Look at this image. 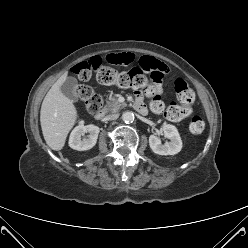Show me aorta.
Returning a JSON list of instances; mask_svg holds the SVG:
<instances>
[{
  "mask_svg": "<svg viewBox=\"0 0 248 248\" xmlns=\"http://www.w3.org/2000/svg\"><path fill=\"white\" fill-rule=\"evenodd\" d=\"M134 114L133 112L131 111H125L123 114H122V120L125 122V123H131L134 121Z\"/></svg>",
  "mask_w": 248,
  "mask_h": 248,
  "instance_id": "aorta-1",
  "label": "aorta"
}]
</instances>
